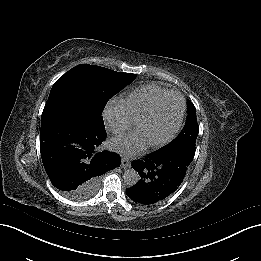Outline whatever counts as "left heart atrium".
<instances>
[{"mask_svg":"<svg viewBox=\"0 0 261 261\" xmlns=\"http://www.w3.org/2000/svg\"><path fill=\"white\" fill-rule=\"evenodd\" d=\"M138 139V136L136 137L131 134L122 135L112 140V147L125 156H135L143 147Z\"/></svg>","mask_w":261,"mask_h":261,"instance_id":"39dd6f15","label":"left heart atrium"}]
</instances>
